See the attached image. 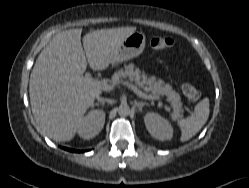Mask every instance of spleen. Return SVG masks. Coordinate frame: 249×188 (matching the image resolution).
Listing matches in <instances>:
<instances>
[{
    "mask_svg": "<svg viewBox=\"0 0 249 188\" xmlns=\"http://www.w3.org/2000/svg\"><path fill=\"white\" fill-rule=\"evenodd\" d=\"M208 117L209 100L208 98H205L195 106L193 115L179 121V126L182 132L180 140L182 142L187 141L196 135L204 126Z\"/></svg>",
    "mask_w": 249,
    "mask_h": 188,
    "instance_id": "1",
    "label": "spleen"
}]
</instances>
